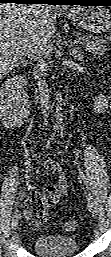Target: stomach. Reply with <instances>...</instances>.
<instances>
[{"label": "stomach", "instance_id": "0dacf381", "mask_svg": "<svg viewBox=\"0 0 111 257\" xmlns=\"http://www.w3.org/2000/svg\"><path fill=\"white\" fill-rule=\"evenodd\" d=\"M66 15L74 24L91 33L101 34L111 27V12L105 7L75 6Z\"/></svg>", "mask_w": 111, "mask_h": 257}]
</instances>
